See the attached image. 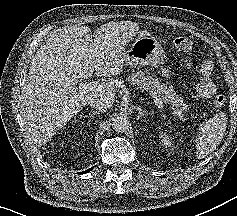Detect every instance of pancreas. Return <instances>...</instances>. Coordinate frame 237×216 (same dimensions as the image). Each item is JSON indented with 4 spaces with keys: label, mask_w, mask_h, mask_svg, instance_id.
<instances>
[{
    "label": "pancreas",
    "mask_w": 237,
    "mask_h": 216,
    "mask_svg": "<svg viewBox=\"0 0 237 216\" xmlns=\"http://www.w3.org/2000/svg\"><path fill=\"white\" fill-rule=\"evenodd\" d=\"M131 85L138 89L150 91V95L158 100L164 99L165 102H170L175 108L184 111L188 108L189 103L186 99L176 95L171 89H167L164 84L154 80L153 76H147L144 72L139 71L132 74L128 79Z\"/></svg>",
    "instance_id": "1"
}]
</instances>
